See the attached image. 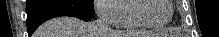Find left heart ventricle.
Instances as JSON below:
<instances>
[{
	"instance_id": "1",
	"label": "left heart ventricle",
	"mask_w": 219,
	"mask_h": 37,
	"mask_svg": "<svg viewBox=\"0 0 219 37\" xmlns=\"http://www.w3.org/2000/svg\"><path fill=\"white\" fill-rule=\"evenodd\" d=\"M141 14L149 21L160 23L170 15V8L165 0H146L142 3Z\"/></svg>"
}]
</instances>
